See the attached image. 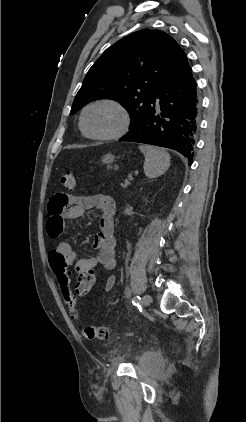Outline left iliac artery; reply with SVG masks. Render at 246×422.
<instances>
[{"label": "left iliac artery", "mask_w": 246, "mask_h": 422, "mask_svg": "<svg viewBox=\"0 0 246 422\" xmlns=\"http://www.w3.org/2000/svg\"><path fill=\"white\" fill-rule=\"evenodd\" d=\"M140 300L141 298L139 296L133 297V300H132L133 305L138 306L140 303Z\"/></svg>", "instance_id": "1"}]
</instances>
